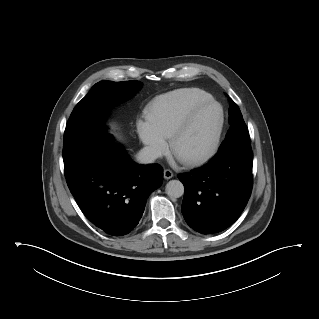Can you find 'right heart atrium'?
<instances>
[{"instance_id": "1", "label": "right heart atrium", "mask_w": 319, "mask_h": 319, "mask_svg": "<svg viewBox=\"0 0 319 319\" xmlns=\"http://www.w3.org/2000/svg\"><path fill=\"white\" fill-rule=\"evenodd\" d=\"M138 135L147 151L159 157L167 150V141L147 120L138 119L136 123Z\"/></svg>"}]
</instances>
